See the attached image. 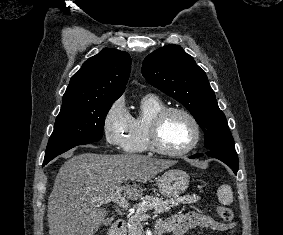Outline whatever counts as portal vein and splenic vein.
<instances>
[{
    "label": "portal vein and splenic vein",
    "mask_w": 283,
    "mask_h": 235,
    "mask_svg": "<svg viewBox=\"0 0 283 235\" xmlns=\"http://www.w3.org/2000/svg\"><path fill=\"white\" fill-rule=\"evenodd\" d=\"M121 192H122V189L120 188L114 194H112L111 196H108V197H105V198H99L98 202L100 204H103V203H108V202L112 201V202H115L117 205H119L122 209L127 210L129 208V204L125 200V198H123L121 196ZM147 218H149V215L145 214L140 218V221H144Z\"/></svg>",
    "instance_id": "portal-vein-and-splenic-vein-1"
}]
</instances>
